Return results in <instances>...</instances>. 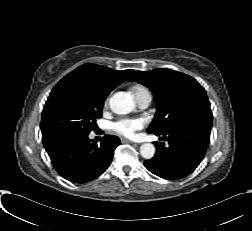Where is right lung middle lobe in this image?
<instances>
[{"label": "right lung middle lobe", "instance_id": "dd1d6c3e", "mask_svg": "<svg viewBox=\"0 0 252 231\" xmlns=\"http://www.w3.org/2000/svg\"><path fill=\"white\" fill-rule=\"evenodd\" d=\"M107 95L89 90L78 81L58 83L43 110L41 130L46 150L95 129Z\"/></svg>", "mask_w": 252, "mask_h": 231}]
</instances>
